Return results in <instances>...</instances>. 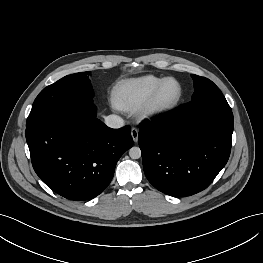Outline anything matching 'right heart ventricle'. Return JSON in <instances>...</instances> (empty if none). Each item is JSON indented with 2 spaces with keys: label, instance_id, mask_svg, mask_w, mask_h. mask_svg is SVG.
<instances>
[{
  "label": "right heart ventricle",
  "instance_id": "1",
  "mask_svg": "<svg viewBox=\"0 0 263 263\" xmlns=\"http://www.w3.org/2000/svg\"><path fill=\"white\" fill-rule=\"evenodd\" d=\"M164 79L154 75H145L120 81L113 90L115 106L124 111L140 109Z\"/></svg>",
  "mask_w": 263,
  "mask_h": 263
}]
</instances>
